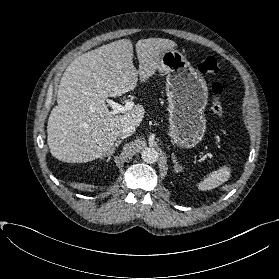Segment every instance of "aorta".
<instances>
[{"instance_id": "762f6f07", "label": "aorta", "mask_w": 279, "mask_h": 279, "mask_svg": "<svg viewBox=\"0 0 279 279\" xmlns=\"http://www.w3.org/2000/svg\"><path fill=\"white\" fill-rule=\"evenodd\" d=\"M141 156L143 161L149 164H153L159 159V153L153 147H146L145 149H143Z\"/></svg>"}]
</instances>
